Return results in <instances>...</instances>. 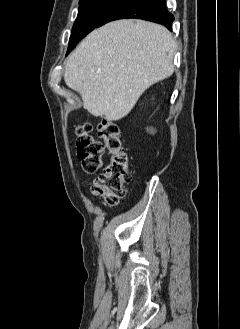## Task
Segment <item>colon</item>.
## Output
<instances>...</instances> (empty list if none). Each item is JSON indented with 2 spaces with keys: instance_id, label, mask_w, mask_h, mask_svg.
Returning <instances> with one entry per match:
<instances>
[{
  "instance_id": "5ec220e1",
  "label": "colon",
  "mask_w": 240,
  "mask_h": 329,
  "mask_svg": "<svg viewBox=\"0 0 240 329\" xmlns=\"http://www.w3.org/2000/svg\"><path fill=\"white\" fill-rule=\"evenodd\" d=\"M88 124L77 128L76 147L82 170L87 175L96 173L102 166L101 155L104 149L110 153V161L104 171L95 179L91 192L101 197L108 206H115L126 193L125 185L131 180L130 158L122 143L118 125L112 120H104L99 133L103 143L90 135Z\"/></svg>"
}]
</instances>
